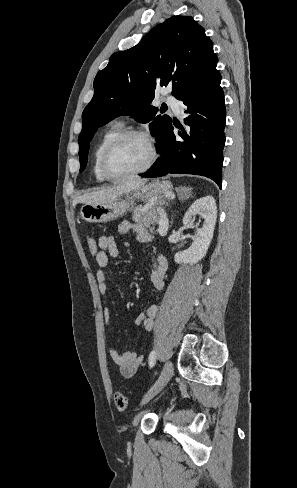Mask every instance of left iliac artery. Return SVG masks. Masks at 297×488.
Returning a JSON list of instances; mask_svg holds the SVG:
<instances>
[{
	"label": "left iliac artery",
	"mask_w": 297,
	"mask_h": 488,
	"mask_svg": "<svg viewBox=\"0 0 297 488\" xmlns=\"http://www.w3.org/2000/svg\"><path fill=\"white\" fill-rule=\"evenodd\" d=\"M157 353L155 350L151 351L149 355V366L153 367L156 362Z\"/></svg>",
	"instance_id": "1"
}]
</instances>
